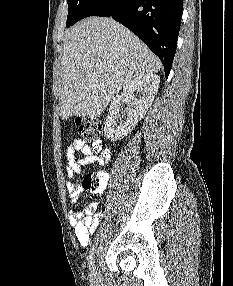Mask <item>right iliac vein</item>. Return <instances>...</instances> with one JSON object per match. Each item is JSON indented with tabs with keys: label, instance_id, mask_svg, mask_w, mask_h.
Wrapping results in <instances>:
<instances>
[{
	"label": "right iliac vein",
	"instance_id": "obj_1",
	"mask_svg": "<svg viewBox=\"0 0 233 286\" xmlns=\"http://www.w3.org/2000/svg\"><path fill=\"white\" fill-rule=\"evenodd\" d=\"M90 280L92 283H95L96 280H97V270H96V267L93 266L91 272H90Z\"/></svg>",
	"mask_w": 233,
	"mask_h": 286
}]
</instances>
